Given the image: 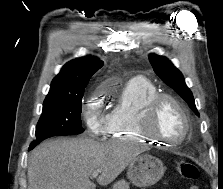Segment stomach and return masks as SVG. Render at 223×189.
Instances as JSON below:
<instances>
[{
  "label": "stomach",
  "instance_id": "stomach-1",
  "mask_svg": "<svg viewBox=\"0 0 223 189\" xmlns=\"http://www.w3.org/2000/svg\"><path fill=\"white\" fill-rule=\"evenodd\" d=\"M164 171L161 160L149 154H141L129 164L127 178L138 187H146L155 184Z\"/></svg>",
  "mask_w": 223,
  "mask_h": 189
}]
</instances>
